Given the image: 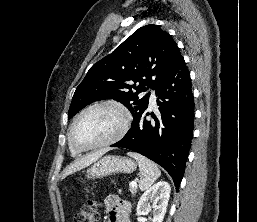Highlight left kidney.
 Segmentation results:
<instances>
[{
    "label": "left kidney",
    "mask_w": 257,
    "mask_h": 222,
    "mask_svg": "<svg viewBox=\"0 0 257 222\" xmlns=\"http://www.w3.org/2000/svg\"><path fill=\"white\" fill-rule=\"evenodd\" d=\"M170 191L171 187L166 181H160L147 189L138 201L137 215H145L153 210L152 222H162L167 210Z\"/></svg>",
    "instance_id": "5707ae66"
}]
</instances>
